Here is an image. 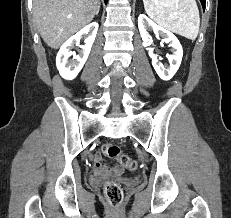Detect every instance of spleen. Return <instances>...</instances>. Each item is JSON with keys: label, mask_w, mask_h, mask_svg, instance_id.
<instances>
[{"label": "spleen", "mask_w": 231, "mask_h": 218, "mask_svg": "<svg viewBox=\"0 0 231 218\" xmlns=\"http://www.w3.org/2000/svg\"><path fill=\"white\" fill-rule=\"evenodd\" d=\"M150 18L187 39L195 40L200 26L195 0H143Z\"/></svg>", "instance_id": "3e777b00"}]
</instances>
